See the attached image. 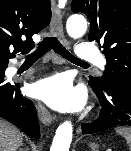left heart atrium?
I'll use <instances>...</instances> for the list:
<instances>
[{
	"instance_id": "1",
	"label": "left heart atrium",
	"mask_w": 131,
	"mask_h": 151,
	"mask_svg": "<svg viewBox=\"0 0 131 151\" xmlns=\"http://www.w3.org/2000/svg\"><path fill=\"white\" fill-rule=\"evenodd\" d=\"M33 97L42 99L57 110H73L81 107L84 100L82 90L75 88L71 80L63 75L45 78L33 84Z\"/></svg>"
}]
</instances>
